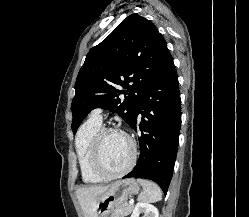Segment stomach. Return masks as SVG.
<instances>
[{
    "instance_id": "0dacf381",
    "label": "stomach",
    "mask_w": 249,
    "mask_h": 217,
    "mask_svg": "<svg viewBox=\"0 0 249 217\" xmlns=\"http://www.w3.org/2000/svg\"><path fill=\"white\" fill-rule=\"evenodd\" d=\"M140 188L133 178L122 179L112 183L109 189L96 201V209L100 216L111 214L117 207L126 202L129 196L138 194Z\"/></svg>"
}]
</instances>
